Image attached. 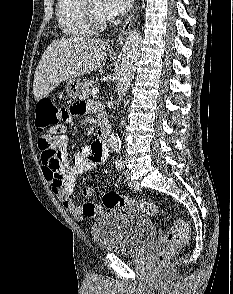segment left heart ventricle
Returning a JSON list of instances; mask_svg holds the SVG:
<instances>
[{"label":"left heart ventricle","mask_w":233,"mask_h":294,"mask_svg":"<svg viewBox=\"0 0 233 294\" xmlns=\"http://www.w3.org/2000/svg\"><path fill=\"white\" fill-rule=\"evenodd\" d=\"M105 0H95L90 5L92 9L99 15L106 16L104 12Z\"/></svg>","instance_id":"1"}]
</instances>
